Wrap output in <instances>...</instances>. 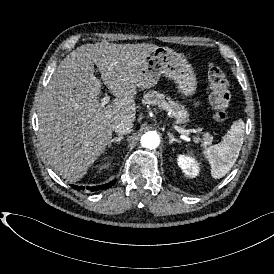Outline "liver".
Instances as JSON below:
<instances>
[{"label":"liver","instance_id":"6515ba94","mask_svg":"<svg viewBox=\"0 0 274 274\" xmlns=\"http://www.w3.org/2000/svg\"><path fill=\"white\" fill-rule=\"evenodd\" d=\"M158 47L107 41L84 44L52 74L38 105L39 137L47 160L64 179H83L112 144L115 126L135 122L137 73ZM95 65L116 97L112 103H101Z\"/></svg>","mask_w":274,"mask_h":274}]
</instances>
